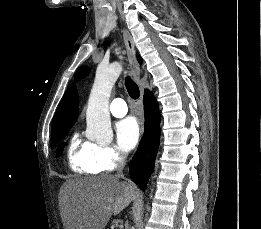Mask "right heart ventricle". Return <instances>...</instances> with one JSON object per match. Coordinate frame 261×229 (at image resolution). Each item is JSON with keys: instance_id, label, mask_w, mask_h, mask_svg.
Wrapping results in <instances>:
<instances>
[{"instance_id": "1", "label": "right heart ventricle", "mask_w": 261, "mask_h": 229, "mask_svg": "<svg viewBox=\"0 0 261 229\" xmlns=\"http://www.w3.org/2000/svg\"><path fill=\"white\" fill-rule=\"evenodd\" d=\"M95 149L94 142L83 141L74 136L70 140L67 152L70 168L78 173H97L93 164Z\"/></svg>"}]
</instances>
